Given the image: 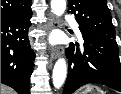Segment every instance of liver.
Returning <instances> with one entry per match:
<instances>
[{"label":"liver","mask_w":121,"mask_h":94,"mask_svg":"<svg viewBox=\"0 0 121 94\" xmlns=\"http://www.w3.org/2000/svg\"><path fill=\"white\" fill-rule=\"evenodd\" d=\"M1 94H16V93L8 86L1 84Z\"/></svg>","instance_id":"1"}]
</instances>
